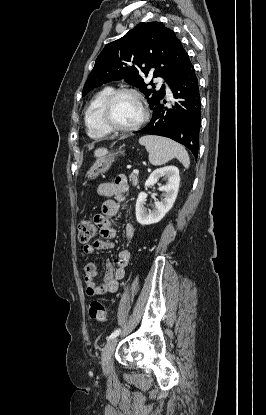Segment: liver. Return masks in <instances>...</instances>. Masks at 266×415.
Returning a JSON list of instances; mask_svg holds the SVG:
<instances>
[{"label": "liver", "instance_id": "1", "mask_svg": "<svg viewBox=\"0 0 266 415\" xmlns=\"http://www.w3.org/2000/svg\"><path fill=\"white\" fill-rule=\"evenodd\" d=\"M106 151H107V150H106V149H104V148H98V149H96V150H95L94 155H95L96 157H98L99 155L104 154Z\"/></svg>", "mask_w": 266, "mask_h": 415}]
</instances>
